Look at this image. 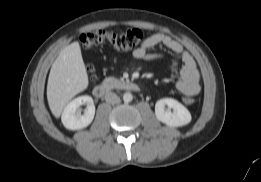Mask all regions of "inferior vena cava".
Here are the masks:
<instances>
[{
  "label": "inferior vena cava",
  "mask_w": 261,
  "mask_h": 182,
  "mask_svg": "<svg viewBox=\"0 0 261 182\" xmlns=\"http://www.w3.org/2000/svg\"><path fill=\"white\" fill-rule=\"evenodd\" d=\"M105 100H106V102H108L110 104H116L120 101V98L118 97L117 94H115L113 92H108L105 95Z\"/></svg>",
  "instance_id": "1"
}]
</instances>
